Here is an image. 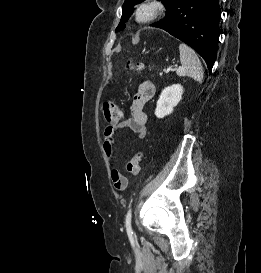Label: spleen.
<instances>
[{
    "mask_svg": "<svg viewBox=\"0 0 261 273\" xmlns=\"http://www.w3.org/2000/svg\"><path fill=\"white\" fill-rule=\"evenodd\" d=\"M181 66L176 70L178 76H188L199 84L203 81V68L195 51L181 43L179 45Z\"/></svg>",
    "mask_w": 261,
    "mask_h": 273,
    "instance_id": "spleen-1",
    "label": "spleen"
}]
</instances>
